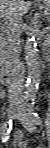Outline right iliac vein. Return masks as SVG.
<instances>
[{
	"label": "right iliac vein",
	"mask_w": 50,
	"mask_h": 148,
	"mask_svg": "<svg viewBox=\"0 0 50 148\" xmlns=\"http://www.w3.org/2000/svg\"><path fill=\"white\" fill-rule=\"evenodd\" d=\"M16 112H17V107L16 106H10L9 107L8 113H7V116L9 118V120L15 115ZM1 133H2V129H1Z\"/></svg>",
	"instance_id": "63e3f726"
}]
</instances>
